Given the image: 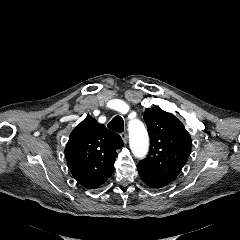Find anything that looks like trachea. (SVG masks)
Here are the masks:
<instances>
[{
    "mask_svg": "<svg viewBox=\"0 0 240 240\" xmlns=\"http://www.w3.org/2000/svg\"><path fill=\"white\" fill-rule=\"evenodd\" d=\"M107 127L115 132H123L124 131V121L122 117L116 116L114 117L107 125Z\"/></svg>",
    "mask_w": 240,
    "mask_h": 240,
    "instance_id": "3493384b",
    "label": "trachea"
}]
</instances>
